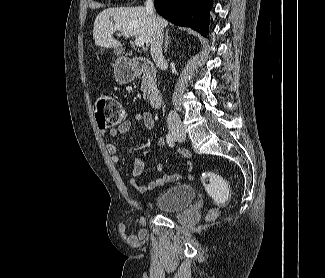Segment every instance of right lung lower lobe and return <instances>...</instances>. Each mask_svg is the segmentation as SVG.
Masks as SVG:
<instances>
[{
    "mask_svg": "<svg viewBox=\"0 0 325 278\" xmlns=\"http://www.w3.org/2000/svg\"><path fill=\"white\" fill-rule=\"evenodd\" d=\"M156 11L170 22L208 34L212 0H154Z\"/></svg>",
    "mask_w": 325,
    "mask_h": 278,
    "instance_id": "right-lung-lower-lobe-1",
    "label": "right lung lower lobe"
}]
</instances>
